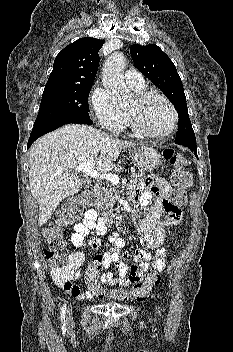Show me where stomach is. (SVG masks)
<instances>
[{
	"mask_svg": "<svg viewBox=\"0 0 233 352\" xmlns=\"http://www.w3.org/2000/svg\"><path fill=\"white\" fill-rule=\"evenodd\" d=\"M132 160L142 171H151L161 163L160 153L151 147H140L132 152Z\"/></svg>",
	"mask_w": 233,
	"mask_h": 352,
	"instance_id": "stomach-1",
	"label": "stomach"
}]
</instances>
